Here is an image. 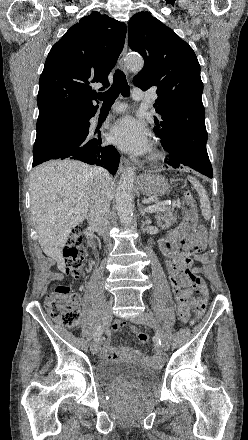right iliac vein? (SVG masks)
Returning <instances> with one entry per match:
<instances>
[{"mask_svg":"<svg viewBox=\"0 0 248 440\" xmlns=\"http://www.w3.org/2000/svg\"><path fill=\"white\" fill-rule=\"evenodd\" d=\"M111 307H112V302L108 301L102 309L101 322L103 329H106L111 322V318H112ZM100 347H101V342L98 339L91 344L90 350L93 354H96L97 352H99Z\"/></svg>","mask_w":248,"mask_h":440,"instance_id":"right-iliac-vein-1","label":"right iliac vein"}]
</instances>
